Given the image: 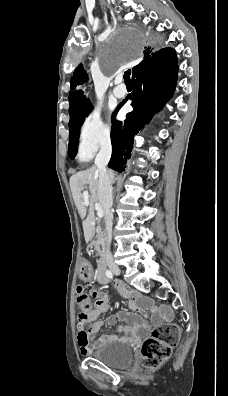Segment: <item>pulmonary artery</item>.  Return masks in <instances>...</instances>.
Returning a JSON list of instances; mask_svg holds the SVG:
<instances>
[{"instance_id": "obj_1", "label": "pulmonary artery", "mask_w": 228, "mask_h": 396, "mask_svg": "<svg viewBox=\"0 0 228 396\" xmlns=\"http://www.w3.org/2000/svg\"><path fill=\"white\" fill-rule=\"evenodd\" d=\"M126 93L125 87L120 84V80L116 81V87L113 90V94L117 98H122Z\"/></svg>"}]
</instances>
